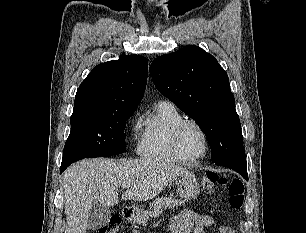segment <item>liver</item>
Instances as JSON below:
<instances>
[{"instance_id":"1","label":"liver","mask_w":306,"mask_h":233,"mask_svg":"<svg viewBox=\"0 0 306 233\" xmlns=\"http://www.w3.org/2000/svg\"><path fill=\"white\" fill-rule=\"evenodd\" d=\"M190 172L161 158L135 160L86 159L72 164L60 178L64 195L65 233H86L90 210L100 203L114 206L119 202L118 188L130 187L123 200L146 201L157 196L177 176Z\"/></svg>"}]
</instances>
